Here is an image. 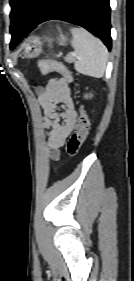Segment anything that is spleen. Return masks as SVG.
<instances>
[{"label": "spleen", "mask_w": 134, "mask_h": 281, "mask_svg": "<svg viewBox=\"0 0 134 281\" xmlns=\"http://www.w3.org/2000/svg\"><path fill=\"white\" fill-rule=\"evenodd\" d=\"M71 33V46L76 52V71L91 77H103L108 60L105 45L83 28H72Z\"/></svg>", "instance_id": "spleen-1"}]
</instances>
